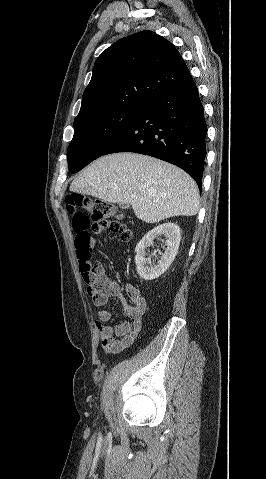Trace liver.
I'll return each mask as SVG.
<instances>
[{"label": "liver", "mask_w": 266, "mask_h": 479, "mask_svg": "<svg viewBox=\"0 0 266 479\" xmlns=\"http://www.w3.org/2000/svg\"><path fill=\"white\" fill-rule=\"evenodd\" d=\"M70 191L111 203H129L136 217L146 223L193 216L199 210L198 187L186 172L135 153H115L95 160L73 180Z\"/></svg>", "instance_id": "liver-1"}]
</instances>
